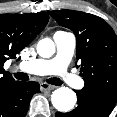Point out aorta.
<instances>
[{"label": "aorta", "mask_w": 117, "mask_h": 117, "mask_svg": "<svg viewBox=\"0 0 117 117\" xmlns=\"http://www.w3.org/2000/svg\"><path fill=\"white\" fill-rule=\"evenodd\" d=\"M37 53L43 58H49L55 53V44L51 39H42L37 44ZM77 97L74 91L61 87L51 95V102L54 108L60 112L72 110L76 104Z\"/></svg>", "instance_id": "762f6f07"}]
</instances>
